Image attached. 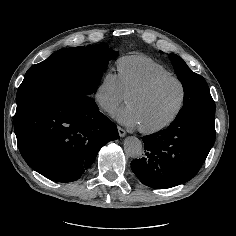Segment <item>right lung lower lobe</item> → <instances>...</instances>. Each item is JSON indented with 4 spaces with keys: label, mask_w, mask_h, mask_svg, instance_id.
I'll return each mask as SVG.
<instances>
[{
    "label": "right lung lower lobe",
    "mask_w": 236,
    "mask_h": 236,
    "mask_svg": "<svg viewBox=\"0 0 236 236\" xmlns=\"http://www.w3.org/2000/svg\"><path fill=\"white\" fill-rule=\"evenodd\" d=\"M14 130L27 164L57 182L80 178L102 146L119 138L116 125L90 96L66 93L16 109Z\"/></svg>",
    "instance_id": "1"
}]
</instances>
